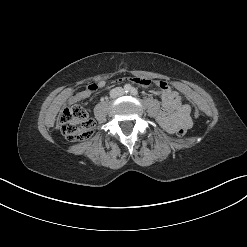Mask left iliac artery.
<instances>
[{
    "mask_svg": "<svg viewBox=\"0 0 247 247\" xmlns=\"http://www.w3.org/2000/svg\"><path fill=\"white\" fill-rule=\"evenodd\" d=\"M131 94L132 95H134V96H137L138 95V91H137V89H135V88H131Z\"/></svg>",
    "mask_w": 247,
    "mask_h": 247,
    "instance_id": "left-iliac-artery-1",
    "label": "left iliac artery"
}]
</instances>
